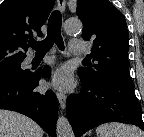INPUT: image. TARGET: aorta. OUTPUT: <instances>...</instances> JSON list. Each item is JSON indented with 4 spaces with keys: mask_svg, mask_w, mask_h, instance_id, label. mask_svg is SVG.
<instances>
[{
    "mask_svg": "<svg viewBox=\"0 0 144 137\" xmlns=\"http://www.w3.org/2000/svg\"><path fill=\"white\" fill-rule=\"evenodd\" d=\"M82 24L79 20L68 19L64 24V29L67 33H74L80 31ZM57 137H74L72 127L68 119L64 116H59L56 124Z\"/></svg>",
    "mask_w": 144,
    "mask_h": 137,
    "instance_id": "1",
    "label": "aorta"
}]
</instances>
